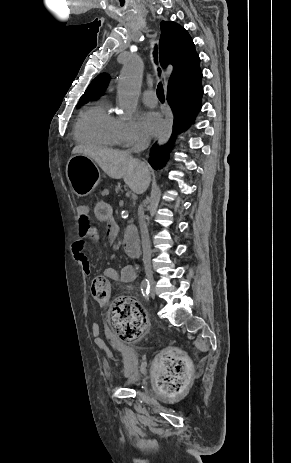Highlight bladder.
<instances>
[{"mask_svg": "<svg viewBox=\"0 0 291 463\" xmlns=\"http://www.w3.org/2000/svg\"><path fill=\"white\" fill-rule=\"evenodd\" d=\"M116 351L122 356L125 363V369L122 374L123 381L128 385H137L139 378L136 375L135 368L140 360L136 347L127 343H117Z\"/></svg>", "mask_w": 291, "mask_h": 463, "instance_id": "bladder-1", "label": "bladder"}]
</instances>
